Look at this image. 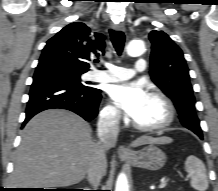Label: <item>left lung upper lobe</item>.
Listing matches in <instances>:
<instances>
[{"mask_svg":"<svg viewBox=\"0 0 218 191\" xmlns=\"http://www.w3.org/2000/svg\"><path fill=\"white\" fill-rule=\"evenodd\" d=\"M149 39L152 44L151 79L174 102L182 124L201 136L195 97L182 50L163 31H151Z\"/></svg>","mask_w":218,"mask_h":191,"instance_id":"obj_1","label":"left lung upper lobe"}]
</instances>
